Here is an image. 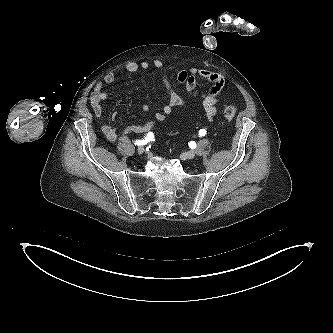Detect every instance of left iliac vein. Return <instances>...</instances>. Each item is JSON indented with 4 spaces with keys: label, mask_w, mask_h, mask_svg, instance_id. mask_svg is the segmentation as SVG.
<instances>
[{
    "label": "left iliac vein",
    "mask_w": 333,
    "mask_h": 333,
    "mask_svg": "<svg viewBox=\"0 0 333 333\" xmlns=\"http://www.w3.org/2000/svg\"><path fill=\"white\" fill-rule=\"evenodd\" d=\"M195 157V152L194 151H187L181 155L182 159H193Z\"/></svg>",
    "instance_id": "1"
}]
</instances>
